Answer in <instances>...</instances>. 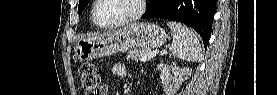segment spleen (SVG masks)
I'll use <instances>...</instances> for the list:
<instances>
[{
	"mask_svg": "<svg viewBox=\"0 0 277 95\" xmlns=\"http://www.w3.org/2000/svg\"><path fill=\"white\" fill-rule=\"evenodd\" d=\"M167 25L173 34V41L170 46L173 56L192 62L202 60V49L197 36L180 23L169 21Z\"/></svg>",
	"mask_w": 277,
	"mask_h": 95,
	"instance_id": "spleen-1",
	"label": "spleen"
}]
</instances>
